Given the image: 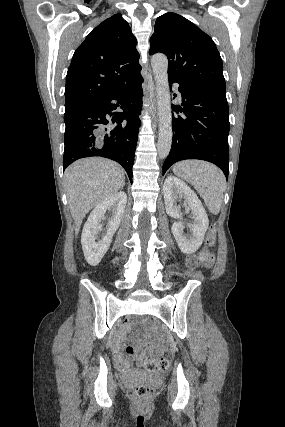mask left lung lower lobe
<instances>
[{"instance_id": "obj_1", "label": "left lung lower lobe", "mask_w": 285, "mask_h": 427, "mask_svg": "<svg viewBox=\"0 0 285 427\" xmlns=\"http://www.w3.org/2000/svg\"><path fill=\"white\" fill-rule=\"evenodd\" d=\"M179 92L183 107L174 105L173 108L185 117L173 116L175 137L163 164V175L178 161L200 159L217 165L228 178L230 123L226 95L182 84Z\"/></svg>"}]
</instances>
